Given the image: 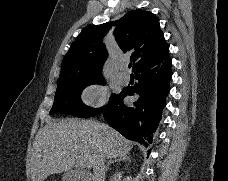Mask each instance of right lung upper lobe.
Listing matches in <instances>:
<instances>
[{
  "label": "right lung upper lobe",
  "mask_w": 228,
  "mask_h": 181,
  "mask_svg": "<svg viewBox=\"0 0 228 181\" xmlns=\"http://www.w3.org/2000/svg\"><path fill=\"white\" fill-rule=\"evenodd\" d=\"M116 21L86 27L65 55L57 85L103 77L101 70L108 57L103 38ZM120 49L130 52L134 69L166 48L159 20L149 11L133 10L122 17L114 30Z\"/></svg>",
  "instance_id": "1"
}]
</instances>
